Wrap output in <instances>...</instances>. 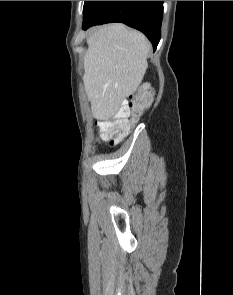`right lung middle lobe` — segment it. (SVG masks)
Segmentation results:
<instances>
[{
    "label": "right lung middle lobe",
    "mask_w": 233,
    "mask_h": 295,
    "mask_svg": "<svg viewBox=\"0 0 233 295\" xmlns=\"http://www.w3.org/2000/svg\"><path fill=\"white\" fill-rule=\"evenodd\" d=\"M89 2L90 1H85L83 11H85V9H86L87 5L89 4Z\"/></svg>",
    "instance_id": "obj_1"
}]
</instances>
